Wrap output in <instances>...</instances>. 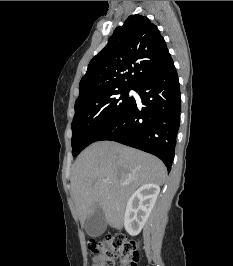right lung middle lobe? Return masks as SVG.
<instances>
[{"instance_id":"1","label":"right lung middle lobe","mask_w":233,"mask_h":266,"mask_svg":"<svg viewBox=\"0 0 233 266\" xmlns=\"http://www.w3.org/2000/svg\"><path fill=\"white\" fill-rule=\"evenodd\" d=\"M130 89L119 88L104 91L76 101L75 116L72 122L73 156H77L85 147L95 142L130 108L135 100L129 97Z\"/></svg>"}]
</instances>
